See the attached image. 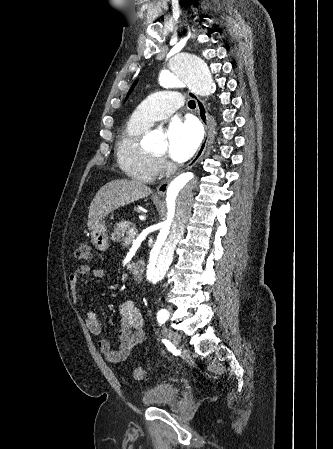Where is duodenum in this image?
Here are the masks:
<instances>
[{"label":"duodenum","instance_id":"1","mask_svg":"<svg viewBox=\"0 0 333 449\" xmlns=\"http://www.w3.org/2000/svg\"><path fill=\"white\" fill-rule=\"evenodd\" d=\"M131 274L133 276V279L136 282H139L142 279L143 272H144V264L142 262H136L131 266Z\"/></svg>","mask_w":333,"mask_h":449}]
</instances>
